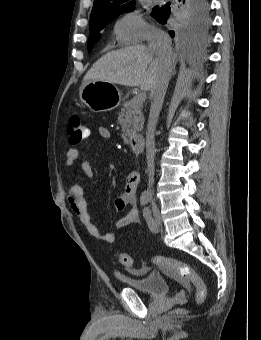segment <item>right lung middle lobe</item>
<instances>
[{
	"mask_svg": "<svg viewBox=\"0 0 261 340\" xmlns=\"http://www.w3.org/2000/svg\"><path fill=\"white\" fill-rule=\"evenodd\" d=\"M134 4L123 9L120 13L115 16L106 17L98 21L90 23V37L88 40V50L90 51L94 44L99 40L101 33L100 31L115 17L119 16L124 12L134 10ZM158 8H154L151 15L155 17L158 13ZM177 17V28L176 33L181 38L188 41L204 40L208 36L210 28V16L209 10L203 5V0H191L186 6L179 9L176 13ZM175 35V33L173 32Z\"/></svg>",
	"mask_w": 261,
	"mask_h": 340,
	"instance_id": "right-lung-middle-lobe-1",
	"label": "right lung middle lobe"
}]
</instances>
